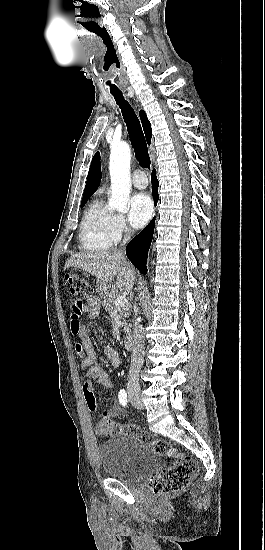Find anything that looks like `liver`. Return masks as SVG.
<instances>
[{"instance_id":"1","label":"liver","mask_w":265,"mask_h":550,"mask_svg":"<svg viewBox=\"0 0 265 550\" xmlns=\"http://www.w3.org/2000/svg\"><path fill=\"white\" fill-rule=\"evenodd\" d=\"M80 268L99 281V291L106 296L111 288V282L116 277L118 289L131 291L136 278L133 266L118 252H87L73 255L64 266Z\"/></svg>"}]
</instances>
